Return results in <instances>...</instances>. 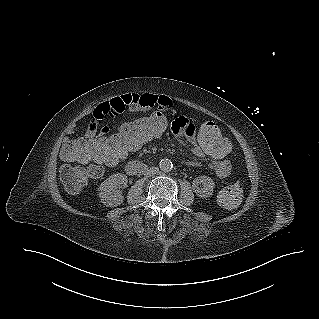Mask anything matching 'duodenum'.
Listing matches in <instances>:
<instances>
[{
    "mask_svg": "<svg viewBox=\"0 0 319 319\" xmlns=\"http://www.w3.org/2000/svg\"><path fill=\"white\" fill-rule=\"evenodd\" d=\"M148 165L138 162L131 161L126 165V171L129 175L137 176L148 170Z\"/></svg>",
    "mask_w": 319,
    "mask_h": 319,
    "instance_id": "obj_1",
    "label": "duodenum"
}]
</instances>
